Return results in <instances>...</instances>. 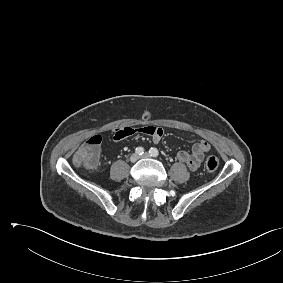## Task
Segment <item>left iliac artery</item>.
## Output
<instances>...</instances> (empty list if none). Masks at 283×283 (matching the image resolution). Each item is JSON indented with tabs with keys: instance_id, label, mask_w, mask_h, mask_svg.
<instances>
[{
	"instance_id": "1",
	"label": "left iliac artery",
	"mask_w": 283,
	"mask_h": 283,
	"mask_svg": "<svg viewBox=\"0 0 283 283\" xmlns=\"http://www.w3.org/2000/svg\"><path fill=\"white\" fill-rule=\"evenodd\" d=\"M149 153H150V155L153 156V157H157V156L159 155L158 150H157L156 148H153V147L150 148Z\"/></svg>"
}]
</instances>
